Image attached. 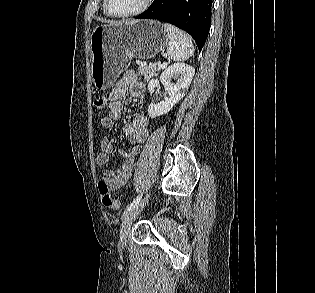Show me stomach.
<instances>
[{
  "instance_id": "0dacf381",
  "label": "stomach",
  "mask_w": 315,
  "mask_h": 293,
  "mask_svg": "<svg viewBox=\"0 0 315 293\" xmlns=\"http://www.w3.org/2000/svg\"><path fill=\"white\" fill-rule=\"evenodd\" d=\"M168 40L163 24L154 20H127L95 27L90 35L94 87L110 88L133 58H153L164 50Z\"/></svg>"
}]
</instances>
